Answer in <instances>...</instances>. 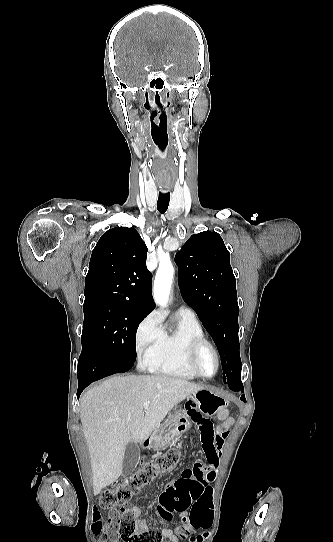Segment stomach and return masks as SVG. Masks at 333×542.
Returning <instances> with one entry per match:
<instances>
[{
    "instance_id": "stomach-1",
    "label": "stomach",
    "mask_w": 333,
    "mask_h": 542,
    "mask_svg": "<svg viewBox=\"0 0 333 542\" xmlns=\"http://www.w3.org/2000/svg\"><path fill=\"white\" fill-rule=\"evenodd\" d=\"M189 400L196 404L197 410L203 414V416H215L219 410L225 408L227 400L215 394L211 390H199L195 394L188 396ZM190 428L189 420H186L185 424H178V420H168L163 426H158L151 436L142 442L143 448H166L173 440L190 439L191 433L185 432Z\"/></svg>"
}]
</instances>
